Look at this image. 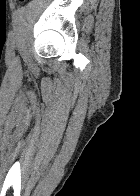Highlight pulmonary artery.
<instances>
[{"label": "pulmonary artery", "mask_w": 140, "mask_h": 196, "mask_svg": "<svg viewBox=\"0 0 140 196\" xmlns=\"http://www.w3.org/2000/svg\"><path fill=\"white\" fill-rule=\"evenodd\" d=\"M37 192H50V191H37Z\"/></svg>", "instance_id": "e3ab8cb5"}]
</instances>
